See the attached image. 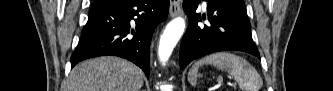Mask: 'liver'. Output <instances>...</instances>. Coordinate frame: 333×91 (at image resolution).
<instances>
[{
    "mask_svg": "<svg viewBox=\"0 0 333 91\" xmlns=\"http://www.w3.org/2000/svg\"><path fill=\"white\" fill-rule=\"evenodd\" d=\"M143 72L117 57L85 60L70 73L65 91H140Z\"/></svg>",
    "mask_w": 333,
    "mask_h": 91,
    "instance_id": "6515ba94",
    "label": "liver"
}]
</instances>
